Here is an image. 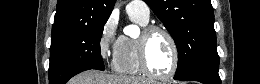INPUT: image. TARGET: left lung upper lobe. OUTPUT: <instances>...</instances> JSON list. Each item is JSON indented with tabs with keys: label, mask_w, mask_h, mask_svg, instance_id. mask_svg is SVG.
<instances>
[{
	"label": "left lung upper lobe",
	"mask_w": 260,
	"mask_h": 84,
	"mask_svg": "<svg viewBox=\"0 0 260 84\" xmlns=\"http://www.w3.org/2000/svg\"><path fill=\"white\" fill-rule=\"evenodd\" d=\"M174 39L175 79L207 65H219L211 0H144Z\"/></svg>",
	"instance_id": "1"
}]
</instances>
